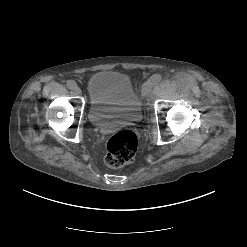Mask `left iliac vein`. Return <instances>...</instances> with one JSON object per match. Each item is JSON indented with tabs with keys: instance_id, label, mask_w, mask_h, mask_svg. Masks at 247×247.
Wrapping results in <instances>:
<instances>
[{
	"instance_id": "obj_1",
	"label": "left iliac vein",
	"mask_w": 247,
	"mask_h": 247,
	"mask_svg": "<svg viewBox=\"0 0 247 247\" xmlns=\"http://www.w3.org/2000/svg\"><path fill=\"white\" fill-rule=\"evenodd\" d=\"M151 88H152V84H150L149 82L145 83L143 86H142V89H141V94L143 97H146L149 95V93L151 92Z\"/></svg>"
}]
</instances>
